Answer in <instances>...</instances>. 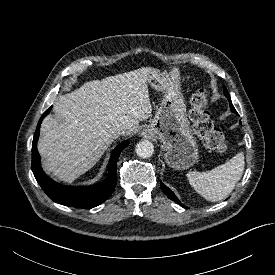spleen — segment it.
<instances>
[{"instance_id": "1", "label": "spleen", "mask_w": 275, "mask_h": 275, "mask_svg": "<svg viewBox=\"0 0 275 275\" xmlns=\"http://www.w3.org/2000/svg\"><path fill=\"white\" fill-rule=\"evenodd\" d=\"M244 154L239 152L225 164L206 172H188L187 178L194 190L208 201L225 199L240 180L244 170Z\"/></svg>"}]
</instances>
